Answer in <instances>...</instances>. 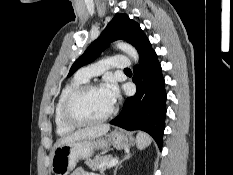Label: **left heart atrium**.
Returning a JSON list of instances; mask_svg holds the SVG:
<instances>
[{
	"label": "left heart atrium",
	"mask_w": 233,
	"mask_h": 175,
	"mask_svg": "<svg viewBox=\"0 0 233 175\" xmlns=\"http://www.w3.org/2000/svg\"><path fill=\"white\" fill-rule=\"evenodd\" d=\"M101 90L103 91L109 102L114 105L119 97V88L116 82L112 79L107 80L101 87Z\"/></svg>",
	"instance_id": "1"
}]
</instances>
